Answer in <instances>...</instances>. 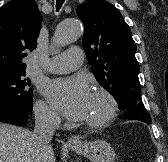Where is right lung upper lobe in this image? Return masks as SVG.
Wrapping results in <instances>:
<instances>
[{
	"instance_id": "obj_1",
	"label": "right lung upper lobe",
	"mask_w": 168,
	"mask_h": 162,
	"mask_svg": "<svg viewBox=\"0 0 168 162\" xmlns=\"http://www.w3.org/2000/svg\"><path fill=\"white\" fill-rule=\"evenodd\" d=\"M42 16L34 0H12L0 9V75L25 72L36 48Z\"/></svg>"
}]
</instances>
